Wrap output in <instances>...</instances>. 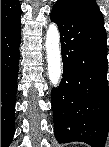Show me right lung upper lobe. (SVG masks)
Returning a JSON list of instances; mask_svg holds the SVG:
<instances>
[{"instance_id":"1","label":"right lung upper lobe","mask_w":109,"mask_h":147,"mask_svg":"<svg viewBox=\"0 0 109 147\" xmlns=\"http://www.w3.org/2000/svg\"><path fill=\"white\" fill-rule=\"evenodd\" d=\"M21 16V5L19 0L1 1V28L11 24Z\"/></svg>"}]
</instances>
